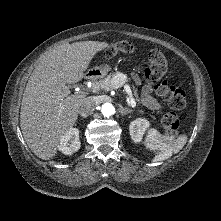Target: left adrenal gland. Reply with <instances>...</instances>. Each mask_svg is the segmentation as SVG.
Returning a JSON list of instances; mask_svg holds the SVG:
<instances>
[{
	"mask_svg": "<svg viewBox=\"0 0 221 221\" xmlns=\"http://www.w3.org/2000/svg\"><path fill=\"white\" fill-rule=\"evenodd\" d=\"M119 112L122 116L128 114V113H132V110L131 109H127V108H123L122 106L120 107L119 109Z\"/></svg>",
	"mask_w": 221,
	"mask_h": 221,
	"instance_id": "1",
	"label": "left adrenal gland"
}]
</instances>
